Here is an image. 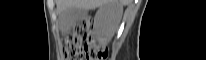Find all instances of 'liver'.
<instances>
[{
  "label": "liver",
  "instance_id": "1",
  "mask_svg": "<svg viewBox=\"0 0 206 60\" xmlns=\"http://www.w3.org/2000/svg\"><path fill=\"white\" fill-rule=\"evenodd\" d=\"M125 3H126V0H56L57 11L59 14H61V12L71 7H76V8L85 9V10L95 9L97 7H101L105 5H114L115 7H117L119 9V13L111 27L110 38L112 37V35L114 34V32L116 31L118 27V24L122 17V7L123 5H125Z\"/></svg>",
  "mask_w": 206,
  "mask_h": 60
}]
</instances>
